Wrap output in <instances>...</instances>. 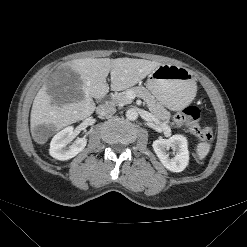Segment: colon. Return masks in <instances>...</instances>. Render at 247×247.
<instances>
[{"label": "colon", "mask_w": 247, "mask_h": 247, "mask_svg": "<svg viewBox=\"0 0 247 247\" xmlns=\"http://www.w3.org/2000/svg\"><path fill=\"white\" fill-rule=\"evenodd\" d=\"M200 110L196 106H189L178 112L175 120L178 124L187 127L190 132L202 140H209L213 136L211 127H202L199 124Z\"/></svg>", "instance_id": "colon-1"}]
</instances>
